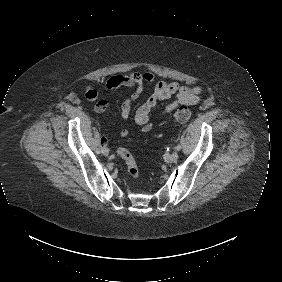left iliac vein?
Masks as SVG:
<instances>
[{"mask_svg": "<svg viewBox=\"0 0 282 282\" xmlns=\"http://www.w3.org/2000/svg\"><path fill=\"white\" fill-rule=\"evenodd\" d=\"M177 159H178V152L177 151L172 152V154L168 157V161L170 163L176 162Z\"/></svg>", "mask_w": 282, "mask_h": 282, "instance_id": "4c4485c4", "label": "left iliac vein"}]
</instances>
